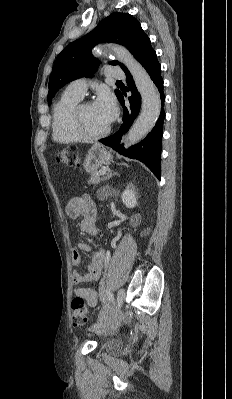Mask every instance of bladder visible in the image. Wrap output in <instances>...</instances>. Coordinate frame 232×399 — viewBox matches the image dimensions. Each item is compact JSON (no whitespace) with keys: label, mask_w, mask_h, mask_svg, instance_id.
Instances as JSON below:
<instances>
[{"label":"bladder","mask_w":232,"mask_h":399,"mask_svg":"<svg viewBox=\"0 0 232 399\" xmlns=\"http://www.w3.org/2000/svg\"><path fill=\"white\" fill-rule=\"evenodd\" d=\"M104 349L107 352H114L118 350V344L115 341H109L105 344Z\"/></svg>","instance_id":"obj_1"}]
</instances>
